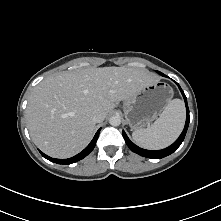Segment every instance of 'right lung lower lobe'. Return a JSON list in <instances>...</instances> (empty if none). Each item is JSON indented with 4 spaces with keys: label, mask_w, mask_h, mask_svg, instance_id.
Returning a JSON list of instances; mask_svg holds the SVG:
<instances>
[{
    "label": "right lung lower lobe",
    "mask_w": 221,
    "mask_h": 221,
    "mask_svg": "<svg viewBox=\"0 0 221 221\" xmlns=\"http://www.w3.org/2000/svg\"><path fill=\"white\" fill-rule=\"evenodd\" d=\"M100 130L101 129H99L96 132V134H95L94 138L92 139V141L90 142V144L82 152H80L79 154H77V155H75V156H73L69 159H55V158H51V157L45 155L41 151H40V153L44 158H46L49 161H52L54 163H57V164H72V163H75V162L83 159L84 157H86L94 149L96 141H97L98 136H99Z\"/></svg>",
    "instance_id": "obj_1"
}]
</instances>
